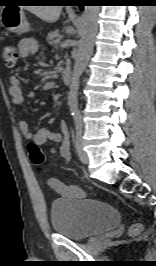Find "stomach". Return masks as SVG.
Here are the masks:
<instances>
[{"instance_id": "obj_1", "label": "stomach", "mask_w": 156, "mask_h": 266, "mask_svg": "<svg viewBox=\"0 0 156 266\" xmlns=\"http://www.w3.org/2000/svg\"><path fill=\"white\" fill-rule=\"evenodd\" d=\"M3 20L6 28L11 32L21 34L29 30V25L22 9L15 8L10 14H4Z\"/></svg>"}]
</instances>
